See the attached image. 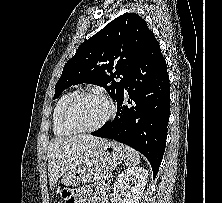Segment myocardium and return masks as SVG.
Here are the masks:
<instances>
[{
	"instance_id": "f54148a6",
	"label": "myocardium",
	"mask_w": 222,
	"mask_h": 203,
	"mask_svg": "<svg viewBox=\"0 0 222 203\" xmlns=\"http://www.w3.org/2000/svg\"><path fill=\"white\" fill-rule=\"evenodd\" d=\"M98 97L100 99H102L108 106V113L106 114V116L97 124L90 126V127H83L78 125L71 116V111L73 106L75 105V103L83 98V97ZM115 115V106L114 103L112 102V100L107 97L105 94L101 93V92H96V91H84V92H77L75 93L66 103L64 109H63V114H62V118H63V122L64 124L70 128L71 130L75 131V132H93L96 131L100 128H102L105 124H107Z\"/></svg>"
}]
</instances>
